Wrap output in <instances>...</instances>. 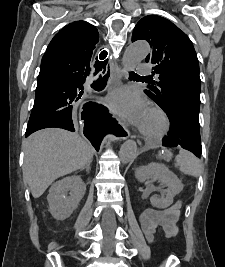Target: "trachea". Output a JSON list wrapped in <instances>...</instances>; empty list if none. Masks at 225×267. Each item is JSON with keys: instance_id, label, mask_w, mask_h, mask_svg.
Returning <instances> with one entry per match:
<instances>
[{"instance_id": "1", "label": "trachea", "mask_w": 225, "mask_h": 267, "mask_svg": "<svg viewBox=\"0 0 225 267\" xmlns=\"http://www.w3.org/2000/svg\"><path fill=\"white\" fill-rule=\"evenodd\" d=\"M130 76L131 77H140L138 74L134 73V72H130Z\"/></svg>"}]
</instances>
